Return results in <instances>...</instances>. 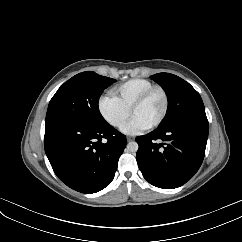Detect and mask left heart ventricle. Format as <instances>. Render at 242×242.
I'll use <instances>...</instances> for the list:
<instances>
[{
    "mask_svg": "<svg viewBox=\"0 0 242 242\" xmlns=\"http://www.w3.org/2000/svg\"><path fill=\"white\" fill-rule=\"evenodd\" d=\"M164 106V99L160 92H154L140 107H138L133 117L139 119L148 127L158 120Z\"/></svg>",
    "mask_w": 242,
    "mask_h": 242,
    "instance_id": "left-heart-ventricle-1",
    "label": "left heart ventricle"
}]
</instances>
